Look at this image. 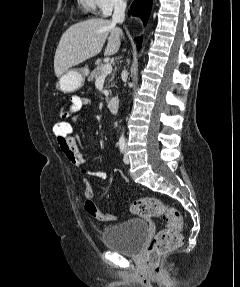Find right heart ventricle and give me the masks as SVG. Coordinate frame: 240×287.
Here are the masks:
<instances>
[{"instance_id": "obj_1", "label": "right heart ventricle", "mask_w": 240, "mask_h": 287, "mask_svg": "<svg viewBox=\"0 0 240 287\" xmlns=\"http://www.w3.org/2000/svg\"><path fill=\"white\" fill-rule=\"evenodd\" d=\"M78 3L88 14H95L97 12L96 0H78Z\"/></svg>"}]
</instances>
